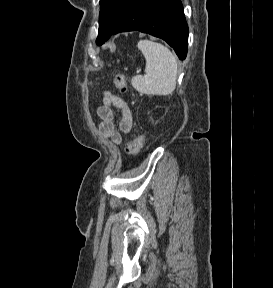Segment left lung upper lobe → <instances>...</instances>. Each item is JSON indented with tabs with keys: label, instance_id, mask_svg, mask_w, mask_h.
I'll return each mask as SVG.
<instances>
[{
	"label": "left lung upper lobe",
	"instance_id": "5c2ea615",
	"mask_svg": "<svg viewBox=\"0 0 273 288\" xmlns=\"http://www.w3.org/2000/svg\"><path fill=\"white\" fill-rule=\"evenodd\" d=\"M133 0H100L99 34L97 45H102L118 27Z\"/></svg>",
	"mask_w": 273,
	"mask_h": 288
}]
</instances>
